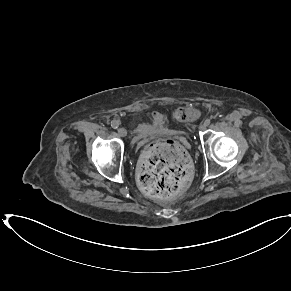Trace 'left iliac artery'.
<instances>
[{
    "mask_svg": "<svg viewBox=\"0 0 291 291\" xmlns=\"http://www.w3.org/2000/svg\"><path fill=\"white\" fill-rule=\"evenodd\" d=\"M210 122H211L210 119H206L204 123L208 126L210 124Z\"/></svg>",
    "mask_w": 291,
    "mask_h": 291,
    "instance_id": "1",
    "label": "left iliac artery"
}]
</instances>
